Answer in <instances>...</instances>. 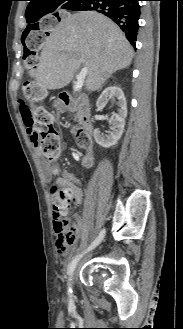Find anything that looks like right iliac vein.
I'll return each mask as SVG.
<instances>
[{
  "label": "right iliac vein",
  "instance_id": "1",
  "mask_svg": "<svg viewBox=\"0 0 183 329\" xmlns=\"http://www.w3.org/2000/svg\"><path fill=\"white\" fill-rule=\"evenodd\" d=\"M74 278H75V273H74V276H73V278H72V285H73V283H74Z\"/></svg>",
  "mask_w": 183,
  "mask_h": 329
}]
</instances>
